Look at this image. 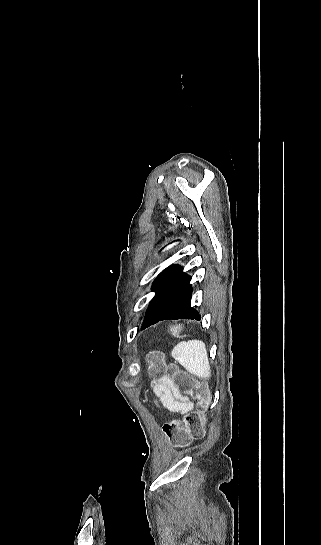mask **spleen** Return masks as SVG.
Listing matches in <instances>:
<instances>
[{
    "instance_id": "spleen-1",
    "label": "spleen",
    "mask_w": 321,
    "mask_h": 545,
    "mask_svg": "<svg viewBox=\"0 0 321 545\" xmlns=\"http://www.w3.org/2000/svg\"><path fill=\"white\" fill-rule=\"evenodd\" d=\"M171 357L198 379L206 381L211 377L208 353L203 341H182L174 347Z\"/></svg>"
}]
</instances>
